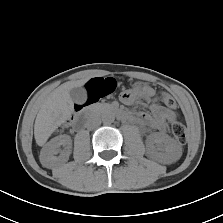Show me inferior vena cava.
<instances>
[{
  "instance_id": "1",
  "label": "inferior vena cava",
  "mask_w": 223,
  "mask_h": 223,
  "mask_svg": "<svg viewBox=\"0 0 223 223\" xmlns=\"http://www.w3.org/2000/svg\"><path fill=\"white\" fill-rule=\"evenodd\" d=\"M100 123H101V120L98 117H94L90 119L89 122L87 123V128L88 129L96 128L100 125Z\"/></svg>"
}]
</instances>
